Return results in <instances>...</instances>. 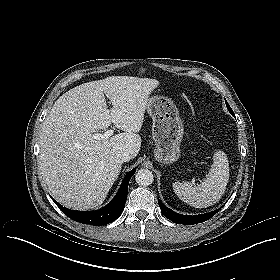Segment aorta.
<instances>
[{"mask_svg": "<svg viewBox=\"0 0 280 280\" xmlns=\"http://www.w3.org/2000/svg\"><path fill=\"white\" fill-rule=\"evenodd\" d=\"M136 183L140 186H149L154 180L152 172L148 169H140L135 174Z\"/></svg>", "mask_w": 280, "mask_h": 280, "instance_id": "1", "label": "aorta"}]
</instances>
